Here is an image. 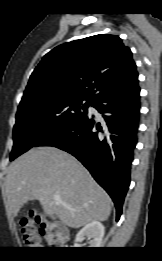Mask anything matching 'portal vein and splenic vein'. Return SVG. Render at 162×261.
I'll list each match as a JSON object with an SVG mask.
<instances>
[{"mask_svg": "<svg viewBox=\"0 0 162 261\" xmlns=\"http://www.w3.org/2000/svg\"><path fill=\"white\" fill-rule=\"evenodd\" d=\"M53 198H54V200H56V201H61V197H60V195H58V194H54V195H53Z\"/></svg>", "mask_w": 162, "mask_h": 261, "instance_id": "18ae733b", "label": "portal vein and splenic vein"}]
</instances>
